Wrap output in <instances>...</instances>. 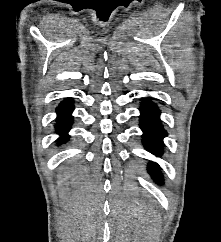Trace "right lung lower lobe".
<instances>
[{
    "label": "right lung lower lobe",
    "instance_id": "1",
    "mask_svg": "<svg viewBox=\"0 0 221 242\" xmlns=\"http://www.w3.org/2000/svg\"><path fill=\"white\" fill-rule=\"evenodd\" d=\"M73 101L71 98L66 99L63 103L60 104L57 109L58 117H57V126L56 130L61 137L59 139L60 142L66 141L69 136L67 135V131L69 130L70 125L72 124L73 117L71 113L73 111Z\"/></svg>",
    "mask_w": 221,
    "mask_h": 242
}]
</instances>
